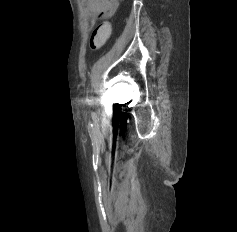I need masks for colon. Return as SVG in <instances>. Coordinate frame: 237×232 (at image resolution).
Here are the masks:
<instances>
[{"label": "colon", "instance_id": "1", "mask_svg": "<svg viewBox=\"0 0 237 232\" xmlns=\"http://www.w3.org/2000/svg\"><path fill=\"white\" fill-rule=\"evenodd\" d=\"M111 35V26L108 22L99 24L93 31L90 38V47L92 50H98L104 46Z\"/></svg>", "mask_w": 237, "mask_h": 232}]
</instances>
